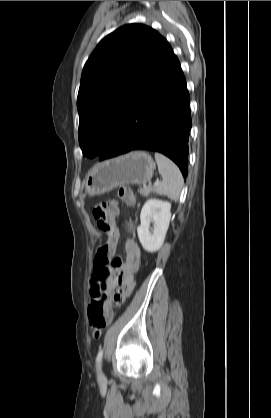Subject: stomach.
I'll use <instances>...</instances> for the list:
<instances>
[{"label":"stomach","instance_id":"obj_1","mask_svg":"<svg viewBox=\"0 0 271 418\" xmlns=\"http://www.w3.org/2000/svg\"><path fill=\"white\" fill-rule=\"evenodd\" d=\"M155 164L142 151L131 152L96 164L86 177V192L101 195L124 184H146L151 180Z\"/></svg>","mask_w":271,"mask_h":418}]
</instances>
